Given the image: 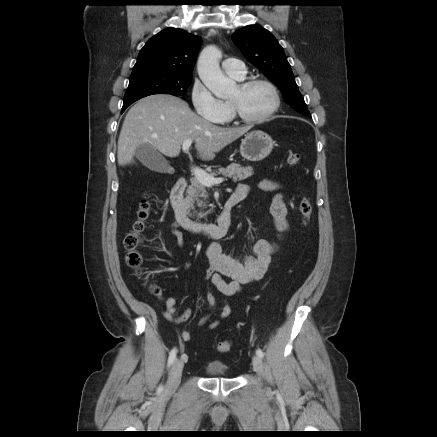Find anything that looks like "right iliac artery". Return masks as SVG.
Returning <instances> with one entry per match:
<instances>
[{
    "mask_svg": "<svg viewBox=\"0 0 437 437\" xmlns=\"http://www.w3.org/2000/svg\"><path fill=\"white\" fill-rule=\"evenodd\" d=\"M176 354H177V349L174 348V349L170 352V355H169V358H168V367H170V366L173 364V362H174V360H175V358H176Z\"/></svg>",
    "mask_w": 437,
    "mask_h": 437,
    "instance_id": "82829eb1",
    "label": "right iliac artery"
}]
</instances>
